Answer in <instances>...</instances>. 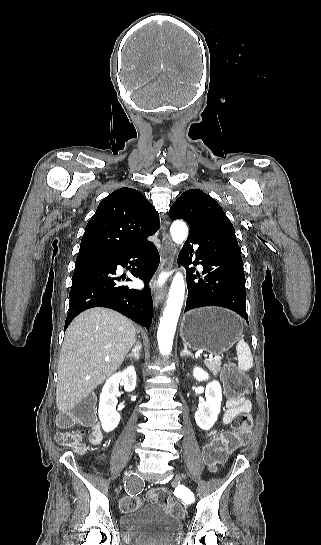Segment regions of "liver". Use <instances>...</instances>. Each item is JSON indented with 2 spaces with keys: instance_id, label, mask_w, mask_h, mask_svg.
<instances>
[{
  "instance_id": "liver-1",
  "label": "liver",
  "mask_w": 321,
  "mask_h": 545,
  "mask_svg": "<svg viewBox=\"0 0 321 545\" xmlns=\"http://www.w3.org/2000/svg\"><path fill=\"white\" fill-rule=\"evenodd\" d=\"M135 335L133 323L111 309H88L72 321L58 361L56 405L60 413L75 409L119 369Z\"/></svg>"
}]
</instances>
